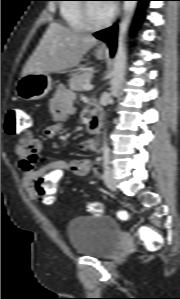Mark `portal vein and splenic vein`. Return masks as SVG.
I'll use <instances>...</instances> for the list:
<instances>
[{
	"label": "portal vein and splenic vein",
	"instance_id": "1",
	"mask_svg": "<svg viewBox=\"0 0 180 299\" xmlns=\"http://www.w3.org/2000/svg\"><path fill=\"white\" fill-rule=\"evenodd\" d=\"M92 88H93V85H91V84H85V85L83 86V89L86 90V91H89V90H91Z\"/></svg>",
	"mask_w": 180,
	"mask_h": 299
}]
</instances>
